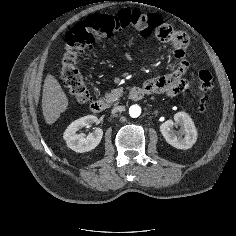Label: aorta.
I'll return each mask as SVG.
<instances>
[{
  "label": "aorta",
  "mask_w": 236,
  "mask_h": 236,
  "mask_svg": "<svg viewBox=\"0 0 236 236\" xmlns=\"http://www.w3.org/2000/svg\"><path fill=\"white\" fill-rule=\"evenodd\" d=\"M140 114H141V107L139 105H132L129 108V115L132 118H137L140 116Z\"/></svg>",
  "instance_id": "762f6f07"
}]
</instances>
